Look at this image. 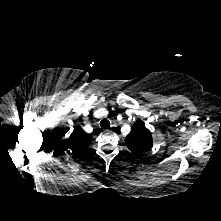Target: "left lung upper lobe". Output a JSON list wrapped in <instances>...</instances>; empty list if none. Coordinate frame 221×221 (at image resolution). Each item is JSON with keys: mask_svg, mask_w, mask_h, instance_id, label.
<instances>
[{"mask_svg": "<svg viewBox=\"0 0 221 221\" xmlns=\"http://www.w3.org/2000/svg\"><path fill=\"white\" fill-rule=\"evenodd\" d=\"M125 143L135 155L147 152L152 148L153 140L151 132L140 119L133 125L131 132L125 139Z\"/></svg>", "mask_w": 221, "mask_h": 221, "instance_id": "5c2ea615", "label": "left lung upper lobe"}]
</instances>
